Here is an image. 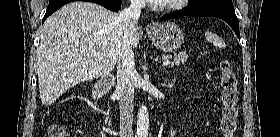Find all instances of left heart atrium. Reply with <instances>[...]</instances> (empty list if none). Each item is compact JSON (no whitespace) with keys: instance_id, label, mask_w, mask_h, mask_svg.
<instances>
[{"instance_id":"39dd6f15","label":"left heart atrium","mask_w":280,"mask_h":137,"mask_svg":"<svg viewBox=\"0 0 280 137\" xmlns=\"http://www.w3.org/2000/svg\"><path fill=\"white\" fill-rule=\"evenodd\" d=\"M149 1H150V3H152V4H161V3L164 2V0H149Z\"/></svg>"}]
</instances>
